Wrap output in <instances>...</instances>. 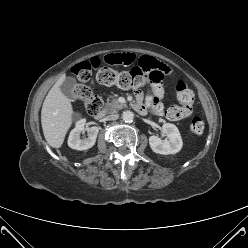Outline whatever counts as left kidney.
Returning a JSON list of instances; mask_svg holds the SVG:
<instances>
[{
    "mask_svg": "<svg viewBox=\"0 0 248 248\" xmlns=\"http://www.w3.org/2000/svg\"><path fill=\"white\" fill-rule=\"evenodd\" d=\"M162 128L168 140L162 141L158 136H150L149 144L151 149L155 153L162 155L176 154L183 146L178 128L171 123L163 124Z\"/></svg>",
    "mask_w": 248,
    "mask_h": 248,
    "instance_id": "5707ae66",
    "label": "left kidney"
}]
</instances>
